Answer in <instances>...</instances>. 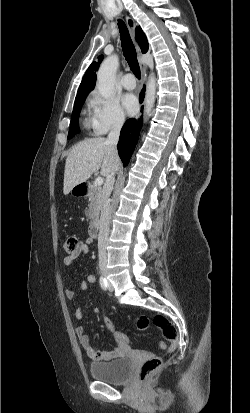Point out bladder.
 <instances>
[{
  "label": "bladder",
  "mask_w": 250,
  "mask_h": 413,
  "mask_svg": "<svg viewBox=\"0 0 250 413\" xmlns=\"http://www.w3.org/2000/svg\"><path fill=\"white\" fill-rule=\"evenodd\" d=\"M133 359L129 356H121L107 362L90 364L91 376L99 381L109 384L124 383L133 370Z\"/></svg>",
  "instance_id": "31cf9c89"
}]
</instances>
